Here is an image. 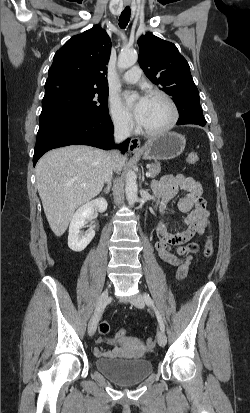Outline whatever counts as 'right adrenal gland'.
<instances>
[{"mask_svg": "<svg viewBox=\"0 0 250 413\" xmlns=\"http://www.w3.org/2000/svg\"><path fill=\"white\" fill-rule=\"evenodd\" d=\"M110 189H111V182H109V183L107 184V187L104 188L103 192H104L105 194H109Z\"/></svg>", "mask_w": 250, "mask_h": 413, "instance_id": "right-adrenal-gland-1", "label": "right adrenal gland"}]
</instances>
